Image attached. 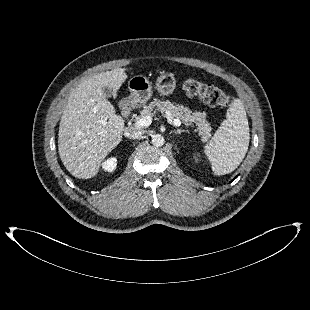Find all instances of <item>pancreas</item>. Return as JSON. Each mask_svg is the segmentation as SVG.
Masks as SVG:
<instances>
[{
	"label": "pancreas",
	"mask_w": 310,
	"mask_h": 310,
	"mask_svg": "<svg viewBox=\"0 0 310 310\" xmlns=\"http://www.w3.org/2000/svg\"><path fill=\"white\" fill-rule=\"evenodd\" d=\"M156 111L161 112L162 115L167 114L170 120L179 119L186 126H193L196 124L199 135L202 136L204 141H207L211 137L212 127L206 120V113L195 111L192 112L188 107L171 103L170 101H164L154 99L149 105H144L140 116H154Z\"/></svg>",
	"instance_id": "obj_1"
}]
</instances>
